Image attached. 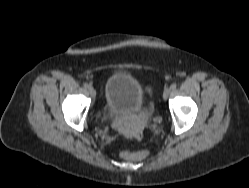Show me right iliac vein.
Returning a JSON list of instances; mask_svg holds the SVG:
<instances>
[{"label": "right iliac vein", "instance_id": "right-iliac-vein-1", "mask_svg": "<svg viewBox=\"0 0 249 188\" xmlns=\"http://www.w3.org/2000/svg\"><path fill=\"white\" fill-rule=\"evenodd\" d=\"M88 90H89L90 95H91L93 98H95V96H96V91H95V89H94L92 86H90V87L88 88Z\"/></svg>", "mask_w": 249, "mask_h": 188}]
</instances>
